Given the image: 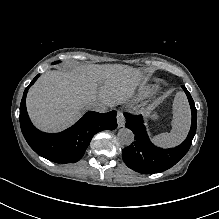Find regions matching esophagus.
Returning <instances> with one entry per match:
<instances>
[{"instance_id": "esophagus-1", "label": "esophagus", "mask_w": 219, "mask_h": 219, "mask_svg": "<svg viewBox=\"0 0 219 219\" xmlns=\"http://www.w3.org/2000/svg\"><path fill=\"white\" fill-rule=\"evenodd\" d=\"M117 124H118V128L124 127L125 118L122 111L117 112Z\"/></svg>"}]
</instances>
